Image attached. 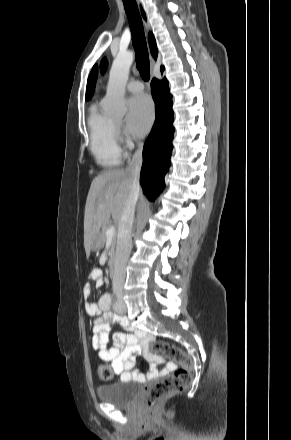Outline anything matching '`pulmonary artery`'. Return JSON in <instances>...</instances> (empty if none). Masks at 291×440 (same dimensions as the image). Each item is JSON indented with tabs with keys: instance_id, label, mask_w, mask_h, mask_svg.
Here are the masks:
<instances>
[{
	"instance_id": "1",
	"label": "pulmonary artery",
	"mask_w": 291,
	"mask_h": 440,
	"mask_svg": "<svg viewBox=\"0 0 291 440\" xmlns=\"http://www.w3.org/2000/svg\"><path fill=\"white\" fill-rule=\"evenodd\" d=\"M143 88H144L143 83L141 81H138V80L131 81L127 85V89L130 92H133V93H139V92H141L143 90Z\"/></svg>"
}]
</instances>
